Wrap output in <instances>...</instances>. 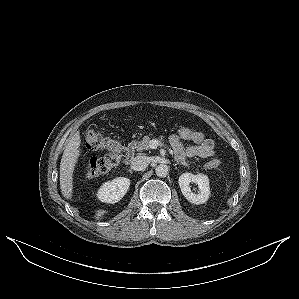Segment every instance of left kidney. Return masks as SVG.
<instances>
[{
    "instance_id": "5707ae66",
    "label": "left kidney",
    "mask_w": 299,
    "mask_h": 299,
    "mask_svg": "<svg viewBox=\"0 0 299 299\" xmlns=\"http://www.w3.org/2000/svg\"><path fill=\"white\" fill-rule=\"evenodd\" d=\"M179 186L184 197L191 203L203 204L210 195L209 179L204 174L193 175L192 173H183L179 176ZM198 185V193H194L190 188V183Z\"/></svg>"
}]
</instances>
